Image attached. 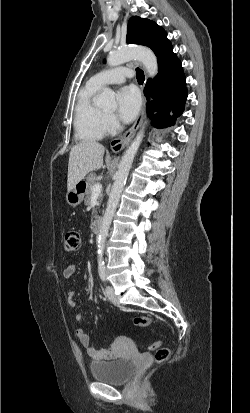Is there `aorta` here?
I'll return each mask as SVG.
<instances>
[{
	"mask_svg": "<svg viewBox=\"0 0 250 413\" xmlns=\"http://www.w3.org/2000/svg\"><path fill=\"white\" fill-rule=\"evenodd\" d=\"M132 59L142 62L150 77H155L157 75L158 73L157 58L150 49L145 48V47H130V48L127 47V48L120 49L118 51H112L107 57V64L111 67H114V66L121 65ZM98 103L101 107L113 108L115 106V92L112 91L110 88H104L99 97ZM145 127H146V123L142 125L136 138L131 143L129 148L126 150V152L124 153L120 161L119 169L116 173L115 182L113 184V187L109 195L107 208L103 216L99 234H98L97 253H98L99 265L103 264V253H104L105 242L108 236L110 224L112 222L121 193L126 183L135 154L137 153V150L142 142Z\"/></svg>",
	"mask_w": 250,
	"mask_h": 413,
	"instance_id": "obj_1",
	"label": "aorta"
}]
</instances>
